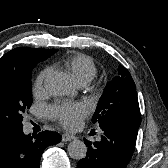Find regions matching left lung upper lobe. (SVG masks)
Instances as JSON below:
<instances>
[{"mask_svg":"<svg viewBox=\"0 0 168 168\" xmlns=\"http://www.w3.org/2000/svg\"><path fill=\"white\" fill-rule=\"evenodd\" d=\"M118 121L135 129L141 122L136 87L129 71L122 65L118 67V76L107 83L92 117V122H98L100 126Z\"/></svg>","mask_w":168,"mask_h":168,"instance_id":"obj_1","label":"left lung upper lobe"}]
</instances>
